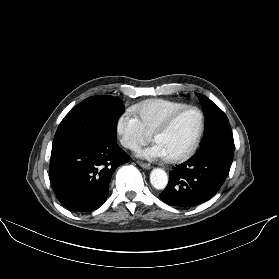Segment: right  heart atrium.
<instances>
[{"mask_svg":"<svg viewBox=\"0 0 279 279\" xmlns=\"http://www.w3.org/2000/svg\"><path fill=\"white\" fill-rule=\"evenodd\" d=\"M115 132L120 143L133 151L138 150L150 139V134L144 129L139 118L131 111H124L117 117Z\"/></svg>","mask_w":279,"mask_h":279,"instance_id":"obj_1","label":"right heart atrium"}]
</instances>
